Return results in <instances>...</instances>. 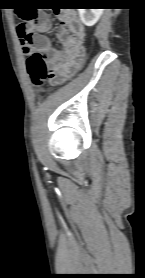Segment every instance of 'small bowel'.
<instances>
[{
    "instance_id": "small-bowel-1",
    "label": "small bowel",
    "mask_w": 145,
    "mask_h": 278,
    "mask_svg": "<svg viewBox=\"0 0 145 278\" xmlns=\"http://www.w3.org/2000/svg\"><path fill=\"white\" fill-rule=\"evenodd\" d=\"M20 16V11H17ZM61 25L56 31V39L61 49L53 47L51 40L45 35L51 29L50 18L42 13L34 20L24 22L21 27L33 33L36 47L34 51L44 56L51 66V78H60L67 69L79 70L86 58L83 47L84 26L76 13L56 12Z\"/></svg>"
}]
</instances>
